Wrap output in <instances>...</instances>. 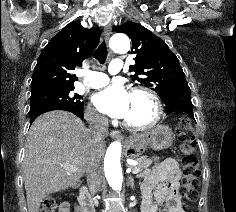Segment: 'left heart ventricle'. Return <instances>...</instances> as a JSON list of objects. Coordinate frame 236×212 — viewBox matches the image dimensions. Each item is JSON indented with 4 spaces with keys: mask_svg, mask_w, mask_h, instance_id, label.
<instances>
[{
    "mask_svg": "<svg viewBox=\"0 0 236 212\" xmlns=\"http://www.w3.org/2000/svg\"><path fill=\"white\" fill-rule=\"evenodd\" d=\"M154 114L151 101L141 94H130V105L126 121L140 125L148 122Z\"/></svg>",
    "mask_w": 236,
    "mask_h": 212,
    "instance_id": "obj_1",
    "label": "left heart ventricle"
}]
</instances>
